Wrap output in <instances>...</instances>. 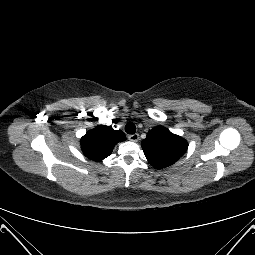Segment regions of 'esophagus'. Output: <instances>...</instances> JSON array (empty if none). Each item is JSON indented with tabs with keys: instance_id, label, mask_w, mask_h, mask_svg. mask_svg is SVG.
<instances>
[{
	"instance_id": "34e87169",
	"label": "esophagus",
	"mask_w": 255,
	"mask_h": 255,
	"mask_svg": "<svg viewBox=\"0 0 255 255\" xmlns=\"http://www.w3.org/2000/svg\"><path fill=\"white\" fill-rule=\"evenodd\" d=\"M128 139L133 142H137L139 140V134L135 133L128 136Z\"/></svg>"
}]
</instances>
